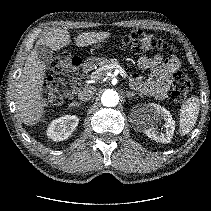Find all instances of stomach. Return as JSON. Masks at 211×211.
<instances>
[{"mask_svg": "<svg viewBox=\"0 0 211 211\" xmlns=\"http://www.w3.org/2000/svg\"><path fill=\"white\" fill-rule=\"evenodd\" d=\"M105 61L104 58L96 59L95 62L98 64H101V62Z\"/></svg>", "mask_w": 211, "mask_h": 211, "instance_id": "1", "label": "stomach"}]
</instances>
